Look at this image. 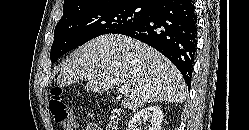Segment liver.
Instances as JSON below:
<instances>
[{
  "instance_id": "obj_1",
  "label": "liver",
  "mask_w": 249,
  "mask_h": 130,
  "mask_svg": "<svg viewBox=\"0 0 249 130\" xmlns=\"http://www.w3.org/2000/svg\"><path fill=\"white\" fill-rule=\"evenodd\" d=\"M87 81L86 90L127 87L122 105L135 109L146 103H182L186 84L179 70L154 48L128 36L108 34L90 40L66 59L59 86Z\"/></svg>"
}]
</instances>
